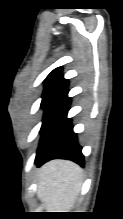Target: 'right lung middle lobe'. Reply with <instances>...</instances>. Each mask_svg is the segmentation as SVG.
I'll return each instance as SVG.
<instances>
[{
    "label": "right lung middle lobe",
    "mask_w": 123,
    "mask_h": 219,
    "mask_svg": "<svg viewBox=\"0 0 123 219\" xmlns=\"http://www.w3.org/2000/svg\"><path fill=\"white\" fill-rule=\"evenodd\" d=\"M68 82H55L45 85L41 107L45 109L43 122L52 107L67 91Z\"/></svg>",
    "instance_id": "1"
}]
</instances>
